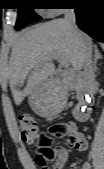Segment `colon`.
<instances>
[{
  "instance_id": "colon-1",
  "label": "colon",
  "mask_w": 104,
  "mask_h": 169,
  "mask_svg": "<svg viewBox=\"0 0 104 169\" xmlns=\"http://www.w3.org/2000/svg\"><path fill=\"white\" fill-rule=\"evenodd\" d=\"M19 129L22 139L37 150L36 164L40 169H56L57 152L51 147L55 139L68 138L69 144L74 145L76 136L66 123H57L40 131L37 119L24 114L19 117Z\"/></svg>"
}]
</instances>
